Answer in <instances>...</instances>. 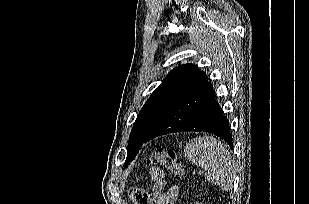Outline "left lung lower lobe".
Returning <instances> with one entry per match:
<instances>
[{
    "label": "left lung lower lobe",
    "instance_id": "left-lung-lower-lobe-1",
    "mask_svg": "<svg viewBox=\"0 0 309 204\" xmlns=\"http://www.w3.org/2000/svg\"><path fill=\"white\" fill-rule=\"evenodd\" d=\"M184 131L215 134L233 148L229 121L217 103L209 82L169 107L150 129L143 143L164 134Z\"/></svg>",
    "mask_w": 309,
    "mask_h": 204
}]
</instances>
